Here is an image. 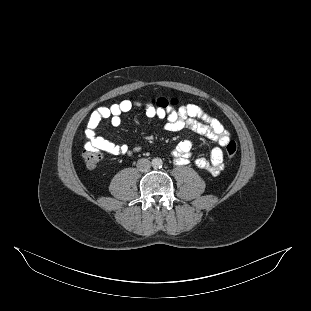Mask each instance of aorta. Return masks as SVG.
<instances>
[{"label": "aorta", "mask_w": 311, "mask_h": 311, "mask_svg": "<svg viewBox=\"0 0 311 311\" xmlns=\"http://www.w3.org/2000/svg\"><path fill=\"white\" fill-rule=\"evenodd\" d=\"M162 164H163V161H162L160 158H154V159L152 160V166H153L154 168H159V167L162 166Z\"/></svg>", "instance_id": "1"}]
</instances>
